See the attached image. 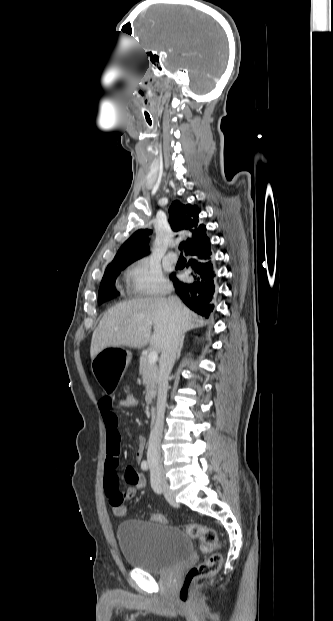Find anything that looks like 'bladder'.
I'll list each match as a JSON object with an SVG mask.
<instances>
[{
    "mask_svg": "<svg viewBox=\"0 0 333 621\" xmlns=\"http://www.w3.org/2000/svg\"><path fill=\"white\" fill-rule=\"evenodd\" d=\"M126 563L153 574H165L187 558L189 538L176 527L152 520L131 519L116 530Z\"/></svg>",
    "mask_w": 333,
    "mask_h": 621,
    "instance_id": "1",
    "label": "bladder"
}]
</instances>
